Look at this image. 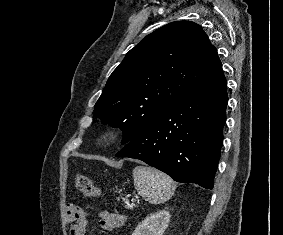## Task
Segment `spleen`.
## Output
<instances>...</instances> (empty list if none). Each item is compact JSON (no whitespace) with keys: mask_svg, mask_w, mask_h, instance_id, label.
I'll return each instance as SVG.
<instances>
[{"mask_svg":"<svg viewBox=\"0 0 283 235\" xmlns=\"http://www.w3.org/2000/svg\"><path fill=\"white\" fill-rule=\"evenodd\" d=\"M132 174L138 194L151 204H162L174 194L175 182L170 176L157 169L136 166Z\"/></svg>","mask_w":283,"mask_h":235,"instance_id":"1","label":"spleen"}]
</instances>
